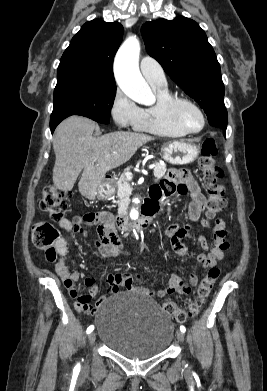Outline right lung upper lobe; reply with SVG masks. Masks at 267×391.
<instances>
[{
    "label": "right lung upper lobe",
    "mask_w": 267,
    "mask_h": 391,
    "mask_svg": "<svg viewBox=\"0 0 267 391\" xmlns=\"http://www.w3.org/2000/svg\"><path fill=\"white\" fill-rule=\"evenodd\" d=\"M122 35L123 27L118 22L95 19L85 23L63 53L57 77L86 73L114 78L113 59Z\"/></svg>",
    "instance_id": "right-lung-upper-lobe-1"
}]
</instances>
